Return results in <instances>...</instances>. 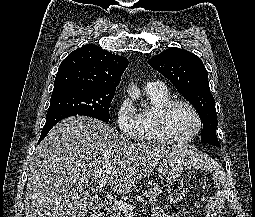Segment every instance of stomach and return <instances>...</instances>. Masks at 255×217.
<instances>
[{"label":"stomach","instance_id":"1","mask_svg":"<svg viewBox=\"0 0 255 217\" xmlns=\"http://www.w3.org/2000/svg\"><path fill=\"white\" fill-rule=\"evenodd\" d=\"M188 157L183 155L179 150L172 149L165 157L159 161L158 176L163 180H174L178 178L183 167L187 164Z\"/></svg>","mask_w":255,"mask_h":217}]
</instances>
